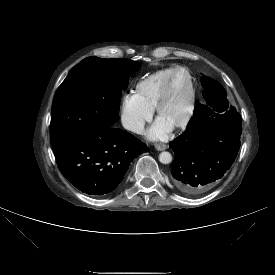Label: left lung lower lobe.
I'll list each match as a JSON object with an SVG mask.
<instances>
[{
    "label": "left lung lower lobe",
    "mask_w": 275,
    "mask_h": 275,
    "mask_svg": "<svg viewBox=\"0 0 275 275\" xmlns=\"http://www.w3.org/2000/svg\"><path fill=\"white\" fill-rule=\"evenodd\" d=\"M242 132L209 123L186 130L172 142L175 153L171 180L186 195L215 187L233 164Z\"/></svg>",
    "instance_id": "obj_1"
}]
</instances>
